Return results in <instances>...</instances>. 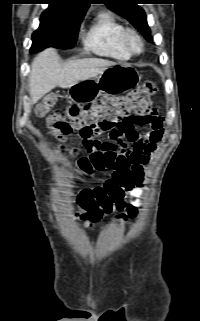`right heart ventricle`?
Returning <instances> with one entry per match:
<instances>
[{
	"label": "right heart ventricle",
	"mask_w": 200,
	"mask_h": 321,
	"mask_svg": "<svg viewBox=\"0 0 200 321\" xmlns=\"http://www.w3.org/2000/svg\"><path fill=\"white\" fill-rule=\"evenodd\" d=\"M125 28L112 13L103 11L91 23L83 37V44L97 55L116 60H128L131 55L120 43V36Z\"/></svg>",
	"instance_id": "e07e8e85"
}]
</instances>
